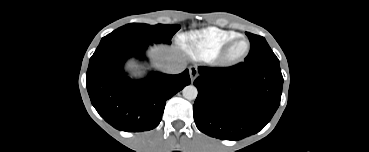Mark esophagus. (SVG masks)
<instances>
[{
  "instance_id": "34e87169",
  "label": "esophagus",
  "mask_w": 369,
  "mask_h": 152,
  "mask_svg": "<svg viewBox=\"0 0 369 152\" xmlns=\"http://www.w3.org/2000/svg\"><path fill=\"white\" fill-rule=\"evenodd\" d=\"M189 75H190V78L192 81L195 80V78L198 76V70H197V67L195 66H191L189 68Z\"/></svg>"
}]
</instances>
